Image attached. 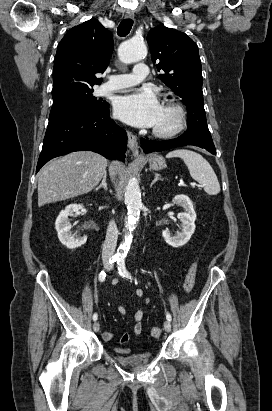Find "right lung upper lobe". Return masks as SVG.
Here are the masks:
<instances>
[{
  "mask_svg": "<svg viewBox=\"0 0 272 411\" xmlns=\"http://www.w3.org/2000/svg\"><path fill=\"white\" fill-rule=\"evenodd\" d=\"M113 51L110 31L96 20H88L70 29L57 48L53 68V101L70 93L91 88L102 82Z\"/></svg>",
  "mask_w": 272,
  "mask_h": 411,
  "instance_id": "cb5924a9",
  "label": "right lung upper lobe"
}]
</instances>
